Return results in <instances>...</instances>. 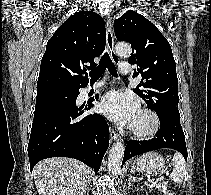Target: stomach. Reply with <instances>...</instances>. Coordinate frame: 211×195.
<instances>
[{
  "label": "stomach",
  "instance_id": "0dacf381",
  "mask_svg": "<svg viewBox=\"0 0 211 195\" xmlns=\"http://www.w3.org/2000/svg\"><path fill=\"white\" fill-rule=\"evenodd\" d=\"M131 168L135 171L145 172L149 175L162 173L166 166L164 158L157 152H148L131 163Z\"/></svg>",
  "mask_w": 211,
  "mask_h": 195
}]
</instances>
